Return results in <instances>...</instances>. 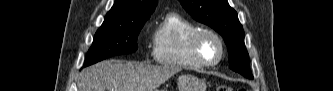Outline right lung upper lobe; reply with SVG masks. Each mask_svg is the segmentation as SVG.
I'll return each mask as SVG.
<instances>
[{"label": "right lung upper lobe", "instance_id": "obj_1", "mask_svg": "<svg viewBox=\"0 0 333 91\" xmlns=\"http://www.w3.org/2000/svg\"><path fill=\"white\" fill-rule=\"evenodd\" d=\"M157 5V0H115L105 20L129 21L149 18Z\"/></svg>", "mask_w": 333, "mask_h": 91}]
</instances>
